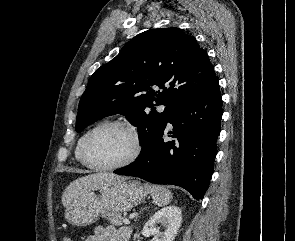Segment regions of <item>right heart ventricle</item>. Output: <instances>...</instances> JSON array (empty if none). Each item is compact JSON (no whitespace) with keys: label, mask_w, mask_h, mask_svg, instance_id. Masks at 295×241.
I'll return each mask as SVG.
<instances>
[{"label":"right heart ventricle","mask_w":295,"mask_h":241,"mask_svg":"<svg viewBox=\"0 0 295 241\" xmlns=\"http://www.w3.org/2000/svg\"><path fill=\"white\" fill-rule=\"evenodd\" d=\"M92 129L87 130L86 132H84L80 138L77 141L76 147H75V159L79 162L82 163L81 161V156H80V152H81V147H82V143L84 141V139L86 138L87 134L91 131Z\"/></svg>","instance_id":"obj_1"}]
</instances>
